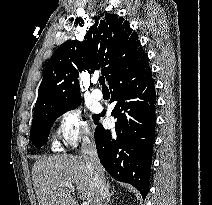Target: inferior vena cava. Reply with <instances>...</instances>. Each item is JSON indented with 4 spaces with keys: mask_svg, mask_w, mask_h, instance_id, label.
<instances>
[{
    "mask_svg": "<svg viewBox=\"0 0 212 205\" xmlns=\"http://www.w3.org/2000/svg\"><path fill=\"white\" fill-rule=\"evenodd\" d=\"M81 151L90 173V186L93 189L92 205H106L107 193L105 177L98 158L94 139L89 136H84Z\"/></svg>",
    "mask_w": 212,
    "mask_h": 205,
    "instance_id": "1",
    "label": "inferior vena cava"
}]
</instances>
